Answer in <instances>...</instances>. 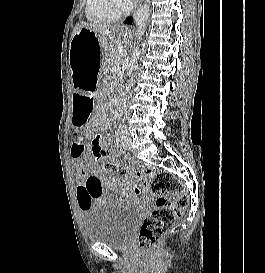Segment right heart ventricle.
Listing matches in <instances>:
<instances>
[{"label":"right heart ventricle","instance_id":"right-heart-ventricle-1","mask_svg":"<svg viewBox=\"0 0 265 273\" xmlns=\"http://www.w3.org/2000/svg\"><path fill=\"white\" fill-rule=\"evenodd\" d=\"M86 14L93 22H108L117 20L121 11L112 0H88Z\"/></svg>","mask_w":265,"mask_h":273}]
</instances>
